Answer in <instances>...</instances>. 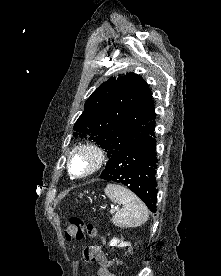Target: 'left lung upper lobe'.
Listing matches in <instances>:
<instances>
[{"label": "left lung upper lobe", "instance_id": "obj_1", "mask_svg": "<svg viewBox=\"0 0 221 276\" xmlns=\"http://www.w3.org/2000/svg\"><path fill=\"white\" fill-rule=\"evenodd\" d=\"M155 117L147 83L130 72L109 78L91 94L74 125V134L96 141L110 158L128 147Z\"/></svg>", "mask_w": 221, "mask_h": 276}]
</instances>
